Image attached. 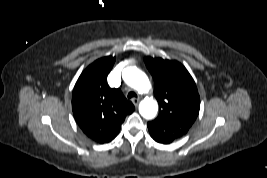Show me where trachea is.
<instances>
[{
    "label": "trachea",
    "instance_id": "1",
    "mask_svg": "<svg viewBox=\"0 0 267 178\" xmlns=\"http://www.w3.org/2000/svg\"><path fill=\"white\" fill-rule=\"evenodd\" d=\"M128 99H131L133 97H137V94L135 92H129L128 95H127Z\"/></svg>",
    "mask_w": 267,
    "mask_h": 178
}]
</instances>
